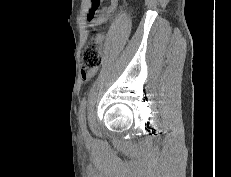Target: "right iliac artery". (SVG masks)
Listing matches in <instances>:
<instances>
[{"label": "right iliac artery", "mask_w": 231, "mask_h": 177, "mask_svg": "<svg viewBox=\"0 0 231 177\" xmlns=\"http://www.w3.org/2000/svg\"><path fill=\"white\" fill-rule=\"evenodd\" d=\"M86 100H83L79 109V122L82 131H86V118H85Z\"/></svg>", "instance_id": "1"}]
</instances>
